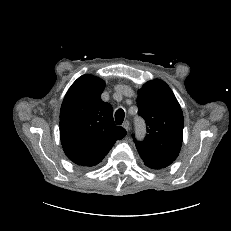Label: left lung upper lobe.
<instances>
[{
	"label": "left lung upper lobe",
	"instance_id": "obj_1",
	"mask_svg": "<svg viewBox=\"0 0 231 231\" xmlns=\"http://www.w3.org/2000/svg\"><path fill=\"white\" fill-rule=\"evenodd\" d=\"M139 115L146 124L144 141H135L145 165L161 169L170 165L179 155L183 139V113L170 87L155 79L138 91Z\"/></svg>",
	"mask_w": 231,
	"mask_h": 231
}]
</instances>
